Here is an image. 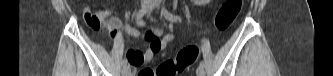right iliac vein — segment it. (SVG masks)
<instances>
[{
    "instance_id": "63e3f726",
    "label": "right iliac vein",
    "mask_w": 333,
    "mask_h": 76,
    "mask_svg": "<svg viewBox=\"0 0 333 76\" xmlns=\"http://www.w3.org/2000/svg\"><path fill=\"white\" fill-rule=\"evenodd\" d=\"M143 8H148V4H145V6H143ZM129 74H130L129 67H126L122 70V76H129Z\"/></svg>"
}]
</instances>
